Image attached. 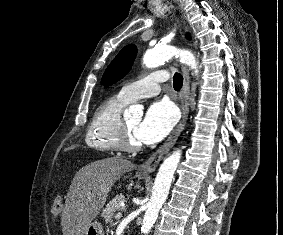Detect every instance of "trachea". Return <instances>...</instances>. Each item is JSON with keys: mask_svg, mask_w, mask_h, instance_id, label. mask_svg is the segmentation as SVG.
<instances>
[{"mask_svg": "<svg viewBox=\"0 0 283 235\" xmlns=\"http://www.w3.org/2000/svg\"><path fill=\"white\" fill-rule=\"evenodd\" d=\"M183 84V77L180 73H175L173 77V87L176 91L180 90Z\"/></svg>", "mask_w": 283, "mask_h": 235, "instance_id": "1", "label": "trachea"}]
</instances>
